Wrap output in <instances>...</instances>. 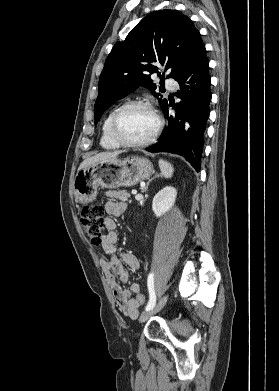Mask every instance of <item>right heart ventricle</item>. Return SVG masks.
<instances>
[{
    "label": "right heart ventricle",
    "instance_id": "right-heart-ventricle-1",
    "mask_svg": "<svg viewBox=\"0 0 279 391\" xmlns=\"http://www.w3.org/2000/svg\"><path fill=\"white\" fill-rule=\"evenodd\" d=\"M116 109L117 108H114L108 112L101 126L100 145L106 150H116L121 147V145L114 141L110 135V122Z\"/></svg>",
    "mask_w": 279,
    "mask_h": 391
}]
</instances>
